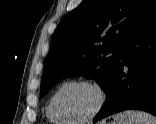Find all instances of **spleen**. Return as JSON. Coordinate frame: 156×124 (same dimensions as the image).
I'll return each mask as SVG.
<instances>
[{
    "mask_svg": "<svg viewBox=\"0 0 156 124\" xmlns=\"http://www.w3.org/2000/svg\"><path fill=\"white\" fill-rule=\"evenodd\" d=\"M123 117L129 124H156V117L142 111L127 110Z\"/></svg>",
    "mask_w": 156,
    "mask_h": 124,
    "instance_id": "obj_1",
    "label": "spleen"
}]
</instances>
